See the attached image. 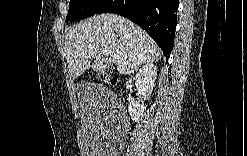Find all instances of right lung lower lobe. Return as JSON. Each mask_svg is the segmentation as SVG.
Returning a JSON list of instances; mask_svg holds the SVG:
<instances>
[{"instance_id":"right-lung-lower-lobe-1","label":"right lung lower lobe","mask_w":247,"mask_h":156,"mask_svg":"<svg viewBox=\"0 0 247 156\" xmlns=\"http://www.w3.org/2000/svg\"><path fill=\"white\" fill-rule=\"evenodd\" d=\"M177 0H107L99 13L122 15L142 27L170 57L177 25Z\"/></svg>"}]
</instances>
